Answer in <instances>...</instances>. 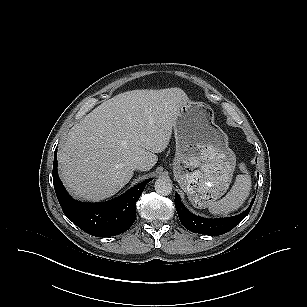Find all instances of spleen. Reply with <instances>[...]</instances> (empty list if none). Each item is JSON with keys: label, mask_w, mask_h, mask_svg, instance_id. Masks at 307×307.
Listing matches in <instances>:
<instances>
[{"label": "spleen", "mask_w": 307, "mask_h": 307, "mask_svg": "<svg viewBox=\"0 0 307 307\" xmlns=\"http://www.w3.org/2000/svg\"><path fill=\"white\" fill-rule=\"evenodd\" d=\"M239 167L245 174L236 176L234 185L225 197L208 204L210 213L214 215H226L240 208L248 198L251 190V177L244 163H241Z\"/></svg>", "instance_id": "spleen-1"}]
</instances>
